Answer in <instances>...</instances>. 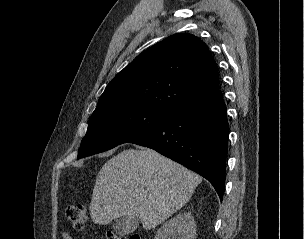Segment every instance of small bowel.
Returning <instances> with one entry per match:
<instances>
[{"label": "small bowel", "mask_w": 304, "mask_h": 239, "mask_svg": "<svg viewBox=\"0 0 304 239\" xmlns=\"http://www.w3.org/2000/svg\"><path fill=\"white\" fill-rule=\"evenodd\" d=\"M62 239H73V238L68 232H63Z\"/></svg>", "instance_id": "obj_1"}]
</instances>
